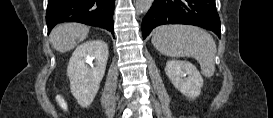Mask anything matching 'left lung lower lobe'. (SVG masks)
<instances>
[{"label":"left lung lower lobe","instance_id":"left-lung-lower-lobe-1","mask_svg":"<svg viewBox=\"0 0 273 118\" xmlns=\"http://www.w3.org/2000/svg\"><path fill=\"white\" fill-rule=\"evenodd\" d=\"M187 24L203 27L220 37L215 0H154L142 21L145 39L159 25Z\"/></svg>","mask_w":273,"mask_h":118}]
</instances>
